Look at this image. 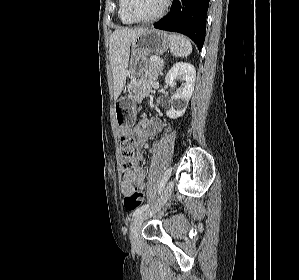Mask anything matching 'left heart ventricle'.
<instances>
[{
	"label": "left heart ventricle",
	"mask_w": 299,
	"mask_h": 280,
	"mask_svg": "<svg viewBox=\"0 0 299 280\" xmlns=\"http://www.w3.org/2000/svg\"><path fill=\"white\" fill-rule=\"evenodd\" d=\"M164 0H131V12L140 19L155 15L162 7Z\"/></svg>",
	"instance_id": "1"
}]
</instances>
